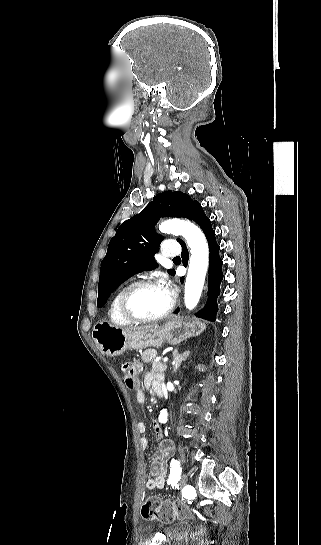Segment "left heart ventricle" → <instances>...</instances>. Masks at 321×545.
Returning a JSON list of instances; mask_svg holds the SVG:
<instances>
[{"label": "left heart ventricle", "instance_id": "obj_1", "mask_svg": "<svg viewBox=\"0 0 321 545\" xmlns=\"http://www.w3.org/2000/svg\"><path fill=\"white\" fill-rule=\"evenodd\" d=\"M170 304V297L161 287L142 289L128 298L127 310L136 318H147L162 314Z\"/></svg>", "mask_w": 321, "mask_h": 545}]
</instances>
